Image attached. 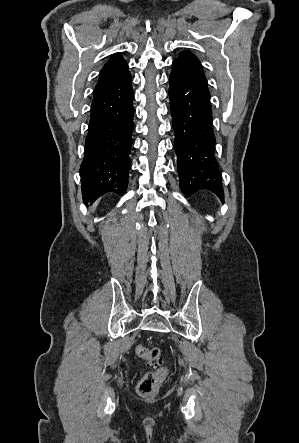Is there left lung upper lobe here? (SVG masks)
Instances as JSON below:
<instances>
[{
  "mask_svg": "<svg viewBox=\"0 0 299 443\" xmlns=\"http://www.w3.org/2000/svg\"><path fill=\"white\" fill-rule=\"evenodd\" d=\"M176 60L185 63L187 66H189L195 72H197L199 75H201L202 77L205 78L202 66H201L199 60L197 59V57H195L193 54L183 51L179 55V58Z\"/></svg>",
  "mask_w": 299,
  "mask_h": 443,
  "instance_id": "left-lung-upper-lobe-1",
  "label": "left lung upper lobe"
}]
</instances>
